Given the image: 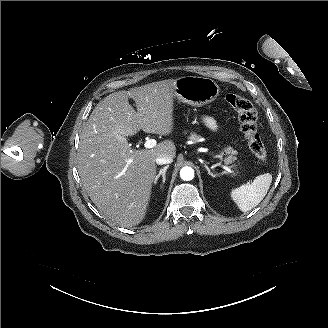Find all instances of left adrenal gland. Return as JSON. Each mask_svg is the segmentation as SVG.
Here are the masks:
<instances>
[{"label": "left adrenal gland", "instance_id": "1", "mask_svg": "<svg viewBox=\"0 0 328 328\" xmlns=\"http://www.w3.org/2000/svg\"><path fill=\"white\" fill-rule=\"evenodd\" d=\"M205 169L207 170L208 174L211 175L212 177H215V174H213L210 169L208 168L207 165H204Z\"/></svg>", "mask_w": 328, "mask_h": 328}]
</instances>
